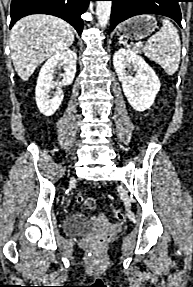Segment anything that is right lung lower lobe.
Returning a JSON list of instances; mask_svg holds the SVG:
<instances>
[{
    "label": "right lung lower lobe",
    "instance_id": "right-lung-lower-lobe-1",
    "mask_svg": "<svg viewBox=\"0 0 193 287\" xmlns=\"http://www.w3.org/2000/svg\"><path fill=\"white\" fill-rule=\"evenodd\" d=\"M92 0H12L10 28L20 18L31 14H49L69 22L79 34L82 33L81 15Z\"/></svg>",
    "mask_w": 193,
    "mask_h": 287
}]
</instances>
